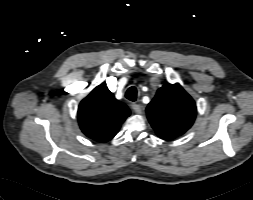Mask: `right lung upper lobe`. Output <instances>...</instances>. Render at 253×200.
Returning <instances> with one entry per match:
<instances>
[{
	"mask_svg": "<svg viewBox=\"0 0 253 200\" xmlns=\"http://www.w3.org/2000/svg\"><path fill=\"white\" fill-rule=\"evenodd\" d=\"M130 115L128 107L118 101L113 93L101 84L84 98L78 108V120L82 132L98 142H107L118 132Z\"/></svg>",
	"mask_w": 253,
	"mask_h": 200,
	"instance_id": "right-lung-upper-lobe-1",
	"label": "right lung upper lobe"
}]
</instances>
